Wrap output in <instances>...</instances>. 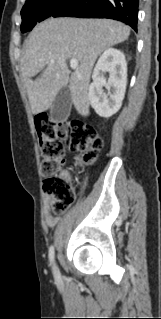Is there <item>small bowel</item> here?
Instances as JSON below:
<instances>
[{
    "mask_svg": "<svg viewBox=\"0 0 161 319\" xmlns=\"http://www.w3.org/2000/svg\"><path fill=\"white\" fill-rule=\"evenodd\" d=\"M63 175L68 176V173L64 172ZM44 199H45V203H46V205L44 207V214H45L46 223L52 227V226L56 225L58 222V217L52 215V213L50 211L49 205L52 201V196L46 195Z\"/></svg>",
    "mask_w": 161,
    "mask_h": 319,
    "instance_id": "1",
    "label": "small bowel"
}]
</instances>
